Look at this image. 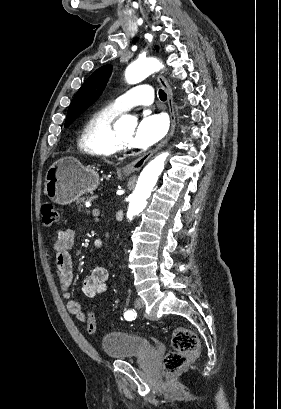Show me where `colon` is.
Listing matches in <instances>:
<instances>
[{
  "mask_svg": "<svg viewBox=\"0 0 281 409\" xmlns=\"http://www.w3.org/2000/svg\"><path fill=\"white\" fill-rule=\"evenodd\" d=\"M59 210L55 203L45 201L42 204V221L46 226L57 223ZM89 333L95 331V324L88 323ZM171 346L174 351L168 353L163 361L165 370L177 371L183 369L199 354V342L194 331L188 328H176L171 334Z\"/></svg>",
  "mask_w": 281,
  "mask_h": 409,
  "instance_id": "obj_1",
  "label": "colon"
}]
</instances>
